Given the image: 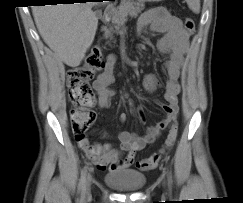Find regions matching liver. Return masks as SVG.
I'll list each match as a JSON object with an SVG mask.
<instances>
[{
    "mask_svg": "<svg viewBox=\"0 0 243 203\" xmlns=\"http://www.w3.org/2000/svg\"><path fill=\"white\" fill-rule=\"evenodd\" d=\"M94 3L35 6L32 9L44 42L70 67L81 64L93 43L98 19Z\"/></svg>",
    "mask_w": 243,
    "mask_h": 203,
    "instance_id": "obj_1",
    "label": "liver"
}]
</instances>
